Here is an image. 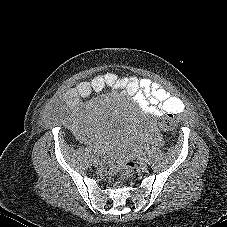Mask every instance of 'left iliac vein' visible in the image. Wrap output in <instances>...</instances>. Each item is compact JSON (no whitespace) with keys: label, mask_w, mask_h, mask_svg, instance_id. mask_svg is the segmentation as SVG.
Instances as JSON below:
<instances>
[{"label":"left iliac vein","mask_w":227,"mask_h":227,"mask_svg":"<svg viewBox=\"0 0 227 227\" xmlns=\"http://www.w3.org/2000/svg\"><path fill=\"white\" fill-rule=\"evenodd\" d=\"M148 162H149V159H148L146 156L142 157V158L139 160V164H140V166L143 167V168L147 166Z\"/></svg>","instance_id":"obj_1"}]
</instances>
